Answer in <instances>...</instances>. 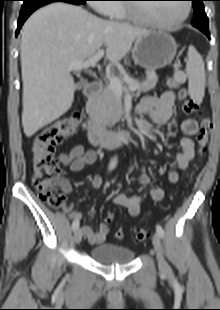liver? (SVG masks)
Segmentation results:
<instances>
[{
	"label": "liver",
	"mask_w": 220,
	"mask_h": 310,
	"mask_svg": "<svg viewBox=\"0 0 220 310\" xmlns=\"http://www.w3.org/2000/svg\"><path fill=\"white\" fill-rule=\"evenodd\" d=\"M149 32L62 2L33 13L20 44L25 135L33 136L70 109L76 88L68 70L71 63L91 58L103 45L106 59L118 63Z\"/></svg>",
	"instance_id": "1"
}]
</instances>
